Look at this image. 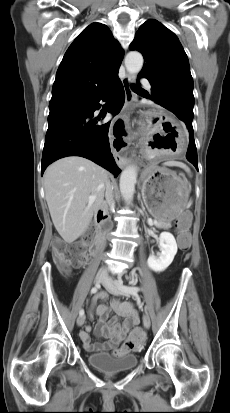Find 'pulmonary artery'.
<instances>
[{"mask_svg":"<svg viewBox=\"0 0 230 413\" xmlns=\"http://www.w3.org/2000/svg\"><path fill=\"white\" fill-rule=\"evenodd\" d=\"M147 87H150V83L148 82V80H144L143 82Z\"/></svg>","mask_w":230,"mask_h":413,"instance_id":"1","label":"pulmonary artery"}]
</instances>
